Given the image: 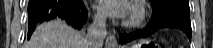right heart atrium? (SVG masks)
Listing matches in <instances>:
<instances>
[{"mask_svg": "<svg viewBox=\"0 0 213 48\" xmlns=\"http://www.w3.org/2000/svg\"><path fill=\"white\" fill-rule=\"evenodd\" d=\"M95 20H96L97 22H101V21L103 20V15L100 14V13H97V14L95 15Z\"/></svg>", "mask_w": 213, "mask_h": 48, "instance_id": "obj_1", "label": "right heart atrium"}]
</instances>
